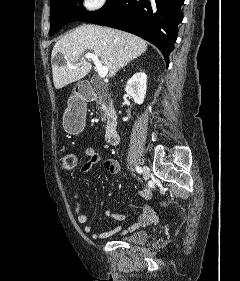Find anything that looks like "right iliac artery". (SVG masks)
I'll use <instances>...</instances> for the list:
<instances>
[{
  "mask_svg": "<svg viewBox=\"0 0 240 281\" xmlns=\"http://www.w3.org/2000/svg\"><path fill=\"white\" fill-rule=\"evenodd\" d=\"M136 171L140 174L143 172V170L140 166H136Z\"/></svg>",
  "mask_w": 240,
  "mask_h": 281,
  "instance_id": "obj_1",
  "label": "right iliac artery"
}]
</instances>
